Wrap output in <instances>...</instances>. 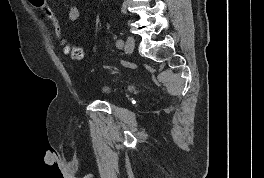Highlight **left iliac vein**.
<instances>
[{"instance_id":"4c4485c4","label":"left iliac vein","mask_w":264,"mask_h":178,"mask_svg":"<svg viewBox=\"0 0 264 178\" xmlns=\"http://www.w3.org/2000/svg\"><path fill=\"white\" fill-rule=\"evenodd\" d=\"M134 47H135L134 38L131 37V36L127 37L126 43H125V51H126V53H128V54L132 53L133 50H134Z\"/></svg>"}]
</instances>
